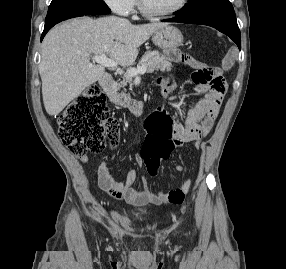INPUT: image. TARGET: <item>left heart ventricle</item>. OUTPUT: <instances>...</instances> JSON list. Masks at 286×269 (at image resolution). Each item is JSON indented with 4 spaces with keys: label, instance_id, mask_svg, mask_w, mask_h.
Returning <instances> with one entry per match:
<instances>
[{
    "label": "left heart ventricle",
    "instance_id": "obj_1",
    "mask_svg": "<svg viewBox=\"0 0 286 269\" xmlns=\"http://www.w3.org/2000/svg\"><path fill=\"white\" fill-rule=\"evenodd\" d=\"M146 8L152 12H164L175 7L180 0H143Z\"/></svg>",
    "mask_w": 286,
    "mask_h": 269
}]
</instances>
